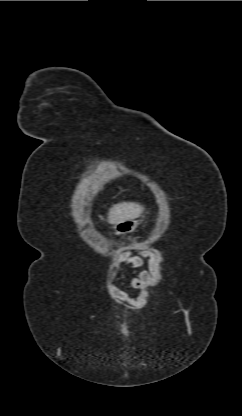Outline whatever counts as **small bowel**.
Returning <instances> with one entry per match:
<instances>
[{
    "instance_id": "obj_1",
    "label": "small bowel",
    "mask_w": 242,
    "mask_h": 416,
    "mask_svg": "<svg viewBox=\"0 0 242 416\" xmlns=\"http://www.w3.org/2000/svg\"><path fill=\"white\" fill-rule=\"evenodd\" d=\"M151 253L146 250H140L138 254H133L130 251L123 252L119 255L116 264L117 265H128L139 269L137 276L131 279V286L135 289H142L147 286L151 279V273L144 269V259L149 258ZM118 299L127 303L130 306H139L144 303V296L140 295L132 297L123 291L118 292Z\"/></svg>"
}]
</instances>
